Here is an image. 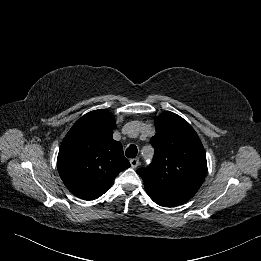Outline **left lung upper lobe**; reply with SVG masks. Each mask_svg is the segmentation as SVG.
<instances>
[{"label": "left lung upper lobe", "instance_id": "1", "mask_svg": "<svg viewBox=\"0 0 261 261\" xmlns=\"http://www.w3.org/2000/svg\"><path fill=\"white\" fill-rule=\"evenodd\" d=\"M155 129L150 140L155 150L153 161L137 170L145 188L192 198L207 172L200 138L187 121L172 112L156 117Z\"/></svg>", "mask_w": 261, "mask_h": 261}]
</instances>
